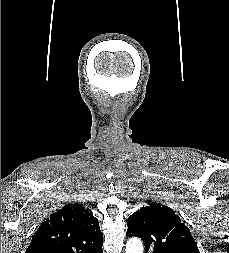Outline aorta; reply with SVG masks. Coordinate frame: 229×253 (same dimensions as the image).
<instances>
[{
  "label": "aorta",
  "mask_w": 229,
  "mask_h": 253,
  "mask_svg": "<svg viewBox=\"0 0 229 253\" xmlns=\"http://www.w3.org/2000/svg\"><path fill=\"white\" fill-rule=\"evenodd\" d=\"M126 253H143V244L138 238H131L126 244Z\"/></svg>",
  "instance_id": "762f6f07"
}]
</instances>
